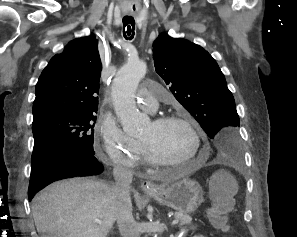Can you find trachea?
Here are the masks:
<instances>
[{"label": "trachea", "mask_w": 297, "mask_h": 237, "mask_svg": "<svg viewBox=\"0 0 297 237\" xmlns=\"http://www.w3.org/2000/svg\"><path fill=\"white\" fill-rule=\"evenodd\" d=\"M123 35L126 39H133L134 29H135V20L132 17H124L123 20Z\"/></svg>", "instance_id": "obj_1"}]
</instances>
